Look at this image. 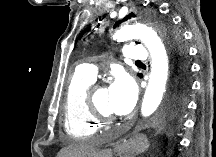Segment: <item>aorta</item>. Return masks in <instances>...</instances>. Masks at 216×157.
Returning a JSON list of instances; mask_svg holds the SVG:
<instances>
[{"instance_id":"1","label":"aorta","mask_w":216,"mask_h":157,"mask_svg":"<svg viewBox=\"0 0 216 157\" xmlns=\"http://www.w3.org/2000/svg\"><path fill=\"white\" fill-rule=\"evenodd\" d=\"M118 41L140 39L151 55V73L141 105V115L151 116L159 107L166 91L169 77V58L165 46L157 32L142 23L124 24L114 35ZM121 157L128 155L119 150Z\"/></svg>"}]
</instances>
